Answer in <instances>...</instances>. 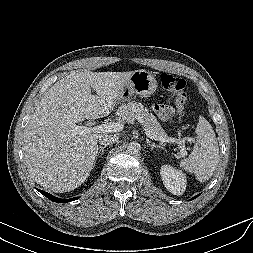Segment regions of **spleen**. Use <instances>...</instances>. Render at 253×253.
<instances>
[{"mask_svg": "<svg viewBox=\"0 0 253 253\" xmlns=\"http://www.w3.org/2000/svg\"><path fill=\"white\" fill-rule=\"evenodd\" d=\"M197 142L189 157L180 161V166L204 182L208 180L219 163V147L214 130L202 116L196 127Z\"/></svg>", "mask_w": 253, "mask_h": 253, "instance_id": "spleen-1", "label": "spleen"}]
</instances>
